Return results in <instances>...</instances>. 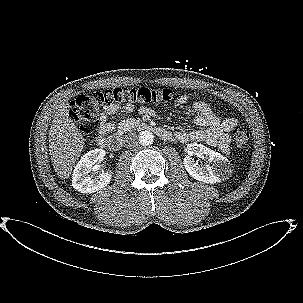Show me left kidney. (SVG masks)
I'll use <instances>...</instances> for the list:
<instances>
[{
    "label": "left kidney",
    "instance_id": "obj_1",
    "mask_svg": "<svg viewBox=\"0 0 303 303\" xmlns=\"http://www.w3.org/2000/svg\"><path fill=\"white\" fill-rule=\"evenodd\" d=\"M188 155L184 158V166L187 172L194 179L204 183H218L221 180L228 178L232 170L230 163L226 157L214 150L197 143L187 145ZM192 155H197L199 158L206 159L210 162L203 167L199 166Z\"/></svg>",
    "mask_w": 303,
    "mask_h": 303
}]
</instances>
